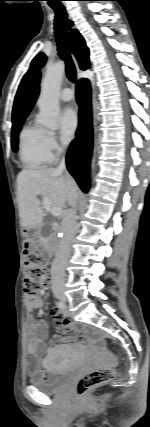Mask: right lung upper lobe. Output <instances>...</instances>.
I'll list each match as a JSON object with an SVG mask.
<instances>
[{
    "mask_svg": "<svg viewBox=\"0 0 150 427\" xmlns=\"http://www.w3.org/2000/svg\"><path fill=\"white\" fill-rule=\"evenodd\" d=\"M70 46L72 52L76 56L81 69L85 70L89 67V49L85 45V41L80 33L73 29L70 32ZM39 72L30 69L23 77L12 112V123L25 120L28 113L35 104L39 94Z\"/></svg>",
    "mask_w": 150,
    "mask_h": 427,
    "instance_id": "obj_1",
    "label": "right lung upper lobe"
}]
</instances>
